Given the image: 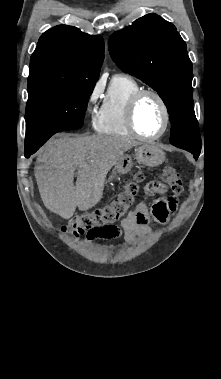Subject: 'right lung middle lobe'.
<instances>
[{
    "mask_svg": "<svg viewBox=\"0 0 221 379\" xmlns=\"http://www.w3.org/2000/svg\"><path fill=\"white\" fill-rule=\"evenodd\" d=\"M94 86L78 83L29 94L25 144L43 145L59 131L81 128Z\"/></svg>",
    "mask_w": 221,
    "mask_h": 379,
    "instance_id": "1",
    "label": "right lung middle lobe"
}]
</instances>
